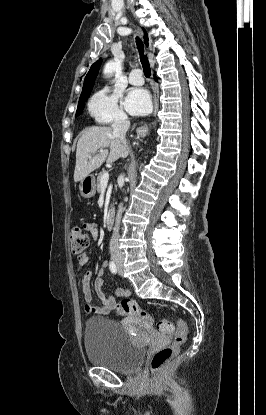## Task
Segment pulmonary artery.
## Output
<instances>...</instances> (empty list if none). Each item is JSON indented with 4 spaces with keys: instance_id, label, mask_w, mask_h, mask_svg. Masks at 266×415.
<instances>
[{
    "instance_id": "pulmonary-artery-1",
    "label": "pulmonary artery",
    "mask_w": 266,
    "mask_h": 415,
    "mask_svg": "<svg viewBox=\"0 0 266 415\" xmlns=\"http://www.w3.org/2000/svg\"><path fill=\"white\" fill-rule=\"evenodd\" d=\"M129 82L135 86H141L144 83L142 71L140 69H133L129 74Z\"/></svg>"
}]
</instances>
